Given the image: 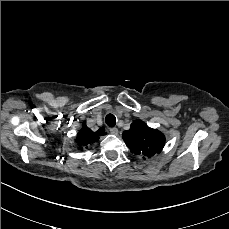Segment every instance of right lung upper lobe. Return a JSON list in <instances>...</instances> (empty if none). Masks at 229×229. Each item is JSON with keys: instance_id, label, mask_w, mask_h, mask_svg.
I'll list each match as a JSON object with an SVG mask.
<instances>
[{"instance_id": "cb5924a9", "label": "right lung upper lobe", "mask_w": 229, "mask_h": 229, "mask_svg": "<svg viewBox=\"0 0 229 229\" xmlns=\"http://www.w3.org/2000/svg\"><path fill=\"white\" fill-rule=\"evenodd\" d=\"M104 133V128H100L98 131L93 132L90 128L86 126V123H83L81 130L79 131L75 143L79 150L87 148L88 145H91L99 140V136Z\"/></svg>"}]
</instances>
